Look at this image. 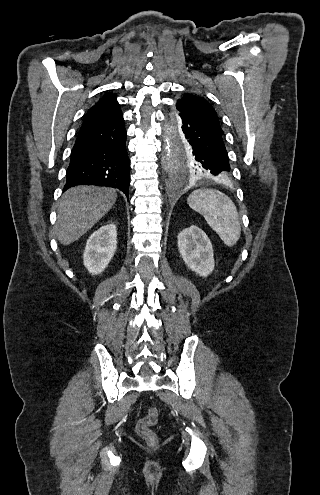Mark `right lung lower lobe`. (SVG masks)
Returning <instances> with one entry per match:
<instances>
[{"instance_id":"1","label":"right lung lower lobe","mask_w":320,"mask_h":495,"mask_svg":"<svg viewBox=\"0 0 320 495\" xmlns=\"http://www.w3.org/2000/svg\"><path fill=\"white\" fill-rule=\"evenodd\" d=\"M124 120L77 133L66 172L64 191L76 185L117 188L128 198L130 162Z\"/></svg>"}]
</instances>
